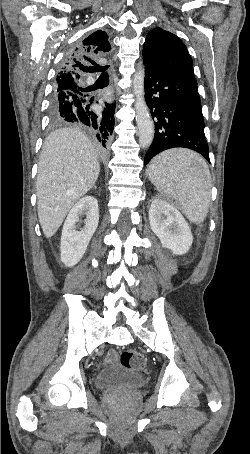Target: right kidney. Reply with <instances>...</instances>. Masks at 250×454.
I'll use <instances>...</instances> for the list:
<instances>
[{"label":"right kidney","mask_w":250,"mask_h":454,"mask_svg":"<svg viewBox=\"0 0 250 454\" xmlns=\"http://www.w3.org/2000/svg\"><path fill=\"white\" fill-rule=\"evenodd\" d=\"M86 216L84 227L77 230L76 223ZM99 222L98 201L93 196L81 198L70 210L61 235V261L67 267L77 264L83 257Z\"/></svg>","instance_id":"1"}]
</instances>
